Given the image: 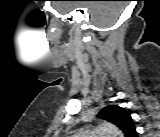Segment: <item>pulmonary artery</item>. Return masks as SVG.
Here are the masks:
<instances>
[{"mask_svg": "<svg viewBox=\"0 0 160 137\" xmlns=\"http://www.w3.org/2000/svg\"><path fill=\"white\" fill-rule=\"evenodd\" d=\"M74 137H107L103 132L98 130L84 131L76 134Z\"/></svg>", "mask_w": 160, "mask_h": 137, "instance_id": "1", "label": "pulmonary artery"}]
</instances>
